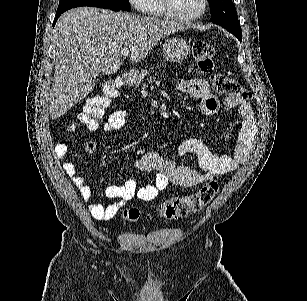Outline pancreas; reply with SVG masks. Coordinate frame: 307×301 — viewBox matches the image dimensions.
Segmentation results:
<instances>
[{
  "instance_id": "1",
  "label": "pancreas",
  "mask_w": 307,
  "mask_h": 301,
  "mask_svg": "<svg viewBox=\"0 0 307 301\" xmlns=\"http://www.w3.org/2000/svg\"><path fill=\"white\" fill-rule=\"evenodd\" d=\"M156 76H158L157 72H155V74H151V76L147 78V84H151V82H154V80H156ZM147 84H143V88H145Z\"/></svg>"
}]
</instances>
